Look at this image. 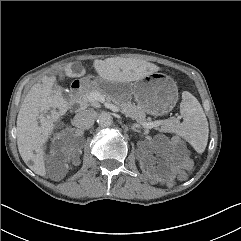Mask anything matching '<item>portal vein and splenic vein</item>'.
<instances>
[{"label":"portal vein and splenic vein","instance_id":"18ae733b","mask_svg":"<svg viewBox=\"0 0 241 241\" xmlns=\"http://www.w3.org/2000/svg\"><path fill=\"white\" fill-rule=\"evenodd\" d=\"M90 99L94 102H105V97L99 93H92L90 95ZM105 106L114 112L119 111V108L113 104L106 103ZM164 122H165V120H157L154 122H141L140 126H142L145 129H151V128L163 125Z\"/></svg>","mask_w":241,"mask_h":241}]
</instances>
